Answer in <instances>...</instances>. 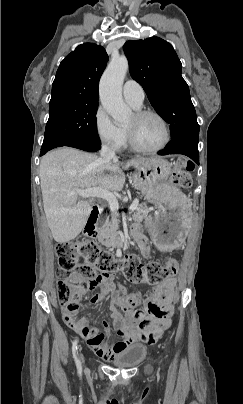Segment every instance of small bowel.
<instances>
[{
	"instance_id": "1",
	"label": "small bowel",
	"mask_w": 243,
	"mask_h": 404,
	"mask_svg": "<svg viewBox=\"0 0 243 404\" xmlns=\"http://www.w3.org/2000/svg\"><path fill=\"white\" fill-rule=\"evenodd\" d=\"M134 231L142 254L145 257H150L151 248L147 238L141 234L139 227H135ZM113 279V274L99 277L96 284L100 285L101 293L92 297V303H98L104 294L114 290ZM174 285V279H166L152 290L143 309L130 312L126 318H123L116 309V306L121 303V298L114 292L111 303L112 318L116 332L121 338L114 344H111L109 339L107 322H104L107 332L100 333L95 327L89 326L85 318L76 319L73 314L66 310L62 311V317L71 329L86 340L97 356L110 360L114 358L116 353L130 344L138 341L154 344L159 339L171 322Z\"/></svg>"
}]
</instances>
